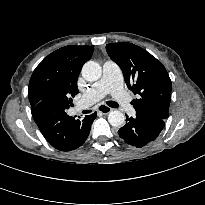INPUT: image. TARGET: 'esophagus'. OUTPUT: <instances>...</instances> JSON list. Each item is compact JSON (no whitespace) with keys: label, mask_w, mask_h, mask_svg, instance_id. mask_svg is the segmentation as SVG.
<instances>
[{"label":"esophagus","mask_w":205,"mask_h":205,"mask_svg":"<svg viewBox=\"0 0 205 205\" xmlns=\"http://www.w3.org/2000/svg\"><path fill=\"white\" fill-rule=\"evenodd\" d=\"M98 111H99V112H102V113H104V114H108L109 112L112 111V108H110V107L107 106V105L101 104V105H99V107H98Z\"/></svg>","instance_id":"obj_1"}]
</instances>
